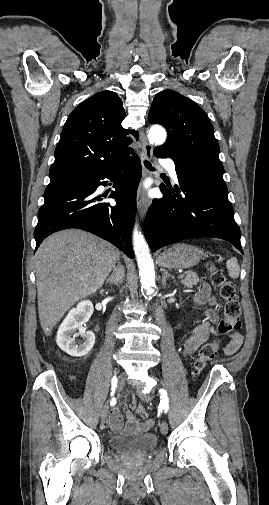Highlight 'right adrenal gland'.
Wrapping results in <instances>:
<instances>
[{
    "mask_svg": "<svg viewBox=\"0 0 269 505\" xmlns=\"http://www.w3.org/2000/svg\"><path fill=\"white\" fill-rule=\"evenodd\" d=\"M125 277L124 267L118 263L117 267L114 268L113 273L106 279V282L114 285H119L123 282Z\"/></svg>",
    "mask_w": 269,
    "mask_h": 505,
    "instance_id": "right-adrenal-gland-1",
    "label": "right adrenal gland"
}]
</instances>
